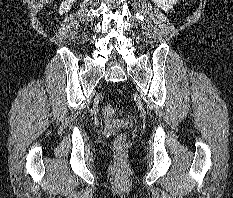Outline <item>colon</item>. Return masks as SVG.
Instances as JSON below:
<instances>
[{
    "mask_svg": "<svg viewBox=\"0 0 233 198\" xmlns=\"http://www.w3.org/2000/svg\"><path fill=\"white\" fill-rule=\"evenodd\" d=\"M102 113L105 117L110 118L115 115V108L106 104L102 107ZM127 147V139L125 135H119L114 141V148L119 155H122Z\"/></svg>",
    "mask_w": 233,
    "mask_h": 198,
    "instance_id": "colon-1",
    "label": "colon"
}]
</instances>
